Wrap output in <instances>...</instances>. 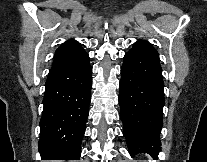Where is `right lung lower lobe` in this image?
I'll return each mask as SVG.
<instances>
[{"label": "right lung lower lobe", "instance_id": "obj_1", "mask_svg": "<svg viewBox=\"0 0 207 162\" xmlns=\"http://www.w3.org/2000/svg\"><path fill=\"white\" fill-rule=\"evenodd\" d=\"M91 73L87 53L50 70L40 120L42 159L79 160L91 101Z\"/></svg>", "mask_w": 207, "mask_h": 162}]
</instances>
